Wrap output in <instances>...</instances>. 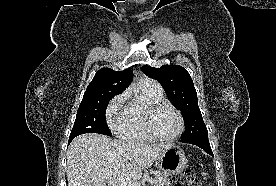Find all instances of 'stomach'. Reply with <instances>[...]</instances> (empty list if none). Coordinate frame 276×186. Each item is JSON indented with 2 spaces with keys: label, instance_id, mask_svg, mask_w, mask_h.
Here are the masks:
<instances>
[{
  "label": "stomach",
  "instance_id": "obj_1",
  "mask_svg": "<svg viewBox=\"0 0 276 186\" xmlns=\"http://www.w3.org/2000/svg\"><path fill=\"white\" fill-rule=\"evenodd\" d=\"M158 167L166 175H176L183 171L187 159L184 151L175 145H170L157 160Z\"/></svg>",
  "mask_w": 276,
  "mask_h": 186
}]
</instances>
